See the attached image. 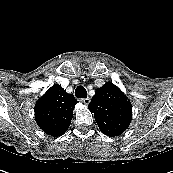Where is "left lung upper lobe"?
Wrapping results in <instances>:
<instances>
[{"mask_svg": "<svg viewBox=\"0 0 173 173\" xmlns=\"http://www.w3.org/2000/svg\"><path fill=\"white\" fill-rule=\"evenodd\" d=\"M89 110L102 133L115 137L121 135L132 119V106L124 93L113 83L107 82L96 90Z\"/></svg>", "mask_w": 173, "mask_h": 173, "instance_id": "5c2ea615", "label": "left lung upper lobe"}]
</instances>
